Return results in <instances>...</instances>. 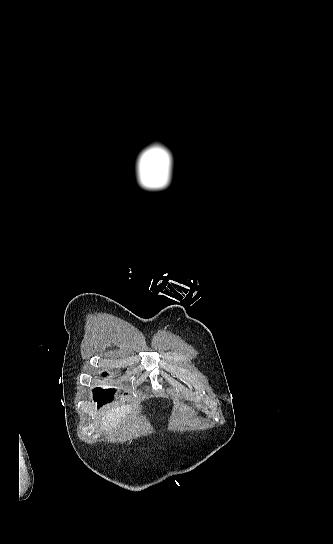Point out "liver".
<instances>
[{"label":"liver","instance_id":"1","mask_svg":"<svg viewBox=\"0 0 333 544\" xmlns=\"http://www.w3.org/2000/svg\"><path fill=\"white\" fill-rule=\"evenodd\" d=\"M132 410L133 408L131 405H122L107 411L101 420L102 429L108 431L117 428Z\"/></svg>","mask_w":333,"mask_h":544}]
</instances>
